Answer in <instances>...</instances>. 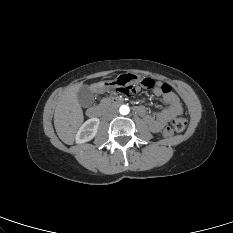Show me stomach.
I'll use <instances>...</instances> for the list:
<instances>
[{
    "instance_id": "1",
    "label": "stomach",
    "mask_w": 233,
    "mask_h": 233,
    "mask_svg": "<svg viewBox=\"0 0 233 233\" xmlns=\"http://www.w3.org/2000/svg\"><path fill=\"white\" fill-rule=\"evenodd\" d=\"M140 77L137 74H130L129 72H122L120 75L115 76L113 79H105L102 83L96 86L97 91H105L108 93L118 92L120 89L125 88L127 85L130 87H137L140 84Z\"/></svg>"
}]
</instances>
